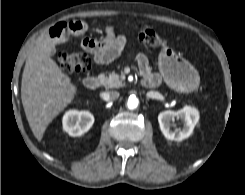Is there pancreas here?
I'll return each instance as SVG.
<instances>
[{"instance_id": "obj_1", "label": "pancreas", "mask_w": 245, "mask_h": 195, "mask_svg": "<svg viewBox=\"0 0 245 195\" xmlns=\"http://www.w3.org/2000/svg\"><path fill=\"white\" fill-rule=\"evenodd\" d=\"M102 84L106 89L109 88H119L122 87L124 84L120 76L116 73H110L109 76L104 77L102 79Z\"/></svg>"}]
</instances>
